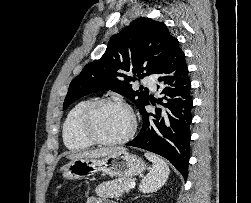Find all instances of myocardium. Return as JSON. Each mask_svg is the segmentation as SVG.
Segmentation results:
<instances>
[{"instance_id": "myocardium-1", "label": "myocardium", "mask_w": 251, "mask_h": 203, "mask_svg": "<svg viewBox=\"0 0 251 203\" xmlns=\"http://www.w3.org/2000/svg\"><path fill=\"white\" fill-rule=\"evenodd\" d=\"M105 104L119 105L122 108H124L130 116L131 125L128 132L124 136L115 140H106L100 138L97 134L93 132L91 127L92 118L96 109ZM136 129H137V119L133 110L127 103L115 97H104L91 101L82 111L78 122V130L80 135L90 143L101 146H117L124 144L134 136Z\"/></svg>"}]
</instances>
